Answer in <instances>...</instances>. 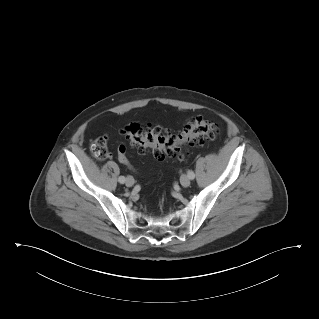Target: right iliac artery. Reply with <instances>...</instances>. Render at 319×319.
Masks as SVG:
<instances>
[{
    "instance_id": "obj_1",
    "label": "right iliac artery",
    "mask_w": 319,
    "mask_h": 319,
    "mask_svg": "<svg viewBox=\"0 0 319 319\" xmlns=\"http://www.w3.org/2000/svg\"><path fill=\"white\" fill-rule=\"evenodd\" d=\"M118 181H119L121 184H124L125 181H126V179H125L124 176H120L119 179H118Z\"/></svg>"
}]
</instances>
